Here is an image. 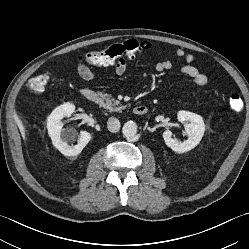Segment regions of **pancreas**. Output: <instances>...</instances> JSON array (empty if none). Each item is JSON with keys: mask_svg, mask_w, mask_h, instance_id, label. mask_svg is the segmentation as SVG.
Wrapping results in <instances>:
<instances>
[{"mask_svg": "<svg viewBox=\"0 0 249 249\" xmlns=\"http://www.w3.org/2000/svg\"><path fill=\"white\" fill-rule=\"evenodd\" d=\"M99 105L110 112L119 111L125 109V106L120 104V101L110 98L111 95L107 93H100Z\"/></svg>", "mask_w": 249, "mask_h": 249, "instance_id": "pancreas-1", "label": "pancreas"}]
</instances>
